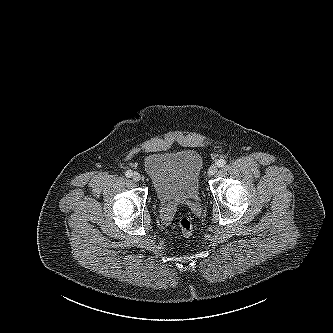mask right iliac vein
I'll return each mask as SVG.
<instances>
[{
	"instance_id": "63e3f726",
	"label": "right iliac vein",
	"mask_w": 333,
	"mask_h": 333,
	"mask_svg": "<svg viewBox=\"0 0 333 333\" xmlns=\"http://www.w3.org/2000/svg\"><path fill=\"white\" fill-rule=\"evenodd\" d=\"M132 179L135 182H139L141 180V175L138 172H134L133 175H132Z\"/></svg>"
}]
</instances>
